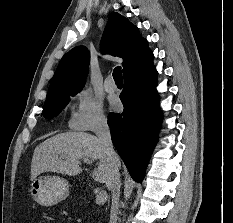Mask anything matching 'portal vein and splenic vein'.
<instances>
[{
	"instance_id": "18ae733b",
	"label": "portal vein and splenic vein",
	"mask_w": 233,
	"mask_h": 223,
	"mask_svg": "<svg viewBox=\"0 0 233 223\" xmlns=\"http://www.w3.org/2000/svg\"><path fill=\"white\" fill-rule=\"evenodd\" d=\"M85 163H88V161H85ZM105 201H107V191H98L96 195V203L102 205V203H105Z\"/></svg>"
}]
</instances>
